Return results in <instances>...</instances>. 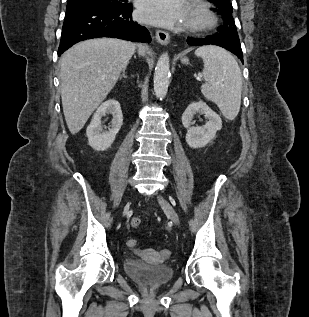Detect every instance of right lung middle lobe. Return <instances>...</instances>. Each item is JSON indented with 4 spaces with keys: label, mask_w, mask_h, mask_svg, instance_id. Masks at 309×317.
I'll list each match as a JSON object with an SVG mask.
<instances>
[{
    "label": "right lung middle lobe",
    "mask_w": 309,
    "mask_h": 317,
    "mask_svg": "<svg viewBox=\"0 0 309 317\" xmlns=\"http://www.w3.org/2000/svg\"><path fill=\"white\" fill-rule=\"evenodd\" d=\"M72 1L92 3V4L103 5V6L114 7V8H122L125 6V4L120 2L123 0H120V1L118 0H72Z\"/></svg>",
    "instance_id": "right-lung-middle-lobe-1"
}]
</instances>
